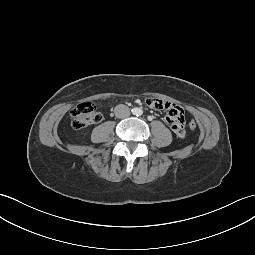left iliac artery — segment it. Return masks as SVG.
<instances>
[{
  "instance_id": "obj_1",
  "label": "left iliac artery",
  "mask_w": 255,
  "mask_h": 255,
  "mask_svg": "<svg viewBox=\"0 0 255 255\" xmlns=\"http://www.w3.org/2000/svg\"><path fill=\"white\" fill-rule=\"evenodd\" d=\"M139 114L141 115V114H142V111H140Z\"/></svg>"
}]
</instances>
